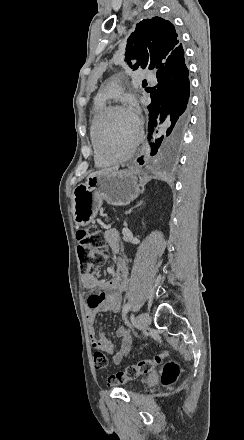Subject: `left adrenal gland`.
I'll return each instance as SVG.
<instances>
[{"label": "left adrenal gland", "mask_w": 244, "mask_h": 440, "mask_svg": "<svg viewBox=\"0 0 244 440\" xmlns=\"http://www.w3.org/2000/svg\"><path fill=\"white\" fill-rule=\"evenodd\" d=\"M141 204H143L142 200H141V202H138V204H136V206H134V208H138V206H141ZM131 210H133V208H131Z\"/></svg>", "instance_id": "a2214340"}]
</instances>
